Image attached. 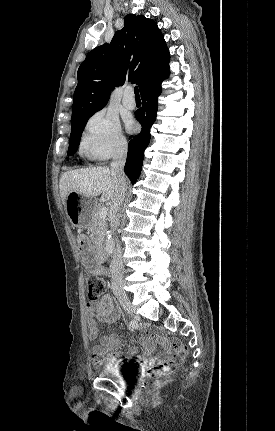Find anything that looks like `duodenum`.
I'll return each mask as SVG.
<instances>
[{"label": "duodenum", "instance_id": "obj_1", "mask_svg": "<svg viewBox=\"0 0 275 431\" xmlns=\"http://www.w3.org/2000/svg\"><path fill=\"white\" fill-rule=\"evenodd\" d=\"M95 257L98 262H104L106 259L105 253L101 247L96 248Z\"/></svg>", "mask_w": 275, "mask_h": 431}]
</instances>
